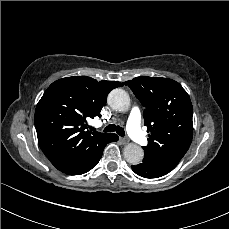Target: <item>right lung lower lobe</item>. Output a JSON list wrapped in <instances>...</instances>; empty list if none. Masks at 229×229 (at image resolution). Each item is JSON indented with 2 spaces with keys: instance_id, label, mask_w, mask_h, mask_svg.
<instances>
[{
  "instance_id": "right-lung-lower-lobe-1",
  "label": "right lung lower lobe",
  "mask_w": 229,
  "mask_h": 229,
  "mask_svg": "<svg viewBox=\"0 0 229 229\" xmlns=\"http://www.w3.org/2000/svg\"><path fill=\"white\" fill-rule=\"evenodd\" d=\"M118 140V136L116 134H108L102 142L96 147V149L92 152V154L78 167H76L74 170L66 173L69 175H79L84 174L91 170L93 167L96 166V164L99 162L102 154L103 149L109 142H114Z\"/></svg>"
}]
</instances>
